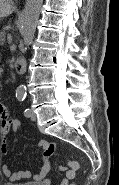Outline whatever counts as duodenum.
<instances>
[{"label":"duodenum","instance_id":"duodenum-1","mask_svg":"<svg viewBox=\"0 0 119 185\" xmlns=\"http://www.w3.org/2000/svg\"><path fill=\"white\" fill-rule=\"evenodd\" d=\"M14 66L18 74H24L26 72L27 62L24 58L19 57L15 60Z\"/></svg>","mask_w":119,"mask_h":185}]
</instances>
